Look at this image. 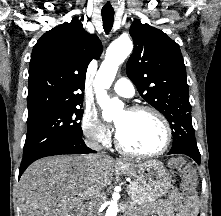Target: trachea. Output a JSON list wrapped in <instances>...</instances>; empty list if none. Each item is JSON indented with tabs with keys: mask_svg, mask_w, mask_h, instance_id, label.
I'll return each instance as SVG.
<instances>
[{
	"mask_svg": "<svg viewBox=\"0 0 221 216\" xmlns=\"http://www.w3.org/2000/svg\"><path fill=\"white\" fill-rule=\"evenodd\" d=\"M102 20L105 32L108 34L113 26L114 10H102Z\"/></svg>",
	"mask_w": 221,
	"mask_h": 216,
	"instance_id": "1",
	"label": "trachea"
}]
</instances>
